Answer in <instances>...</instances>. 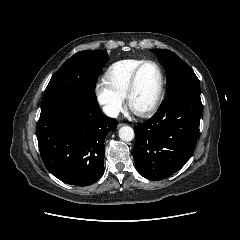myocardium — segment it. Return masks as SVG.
<instances>
[{
	"instance_id": "obj_1",
	"label": "myocardium",
	"mask_w": 240,
	"mask_h": 240,
	"mask_svg": "<svg viewBox=\"0 0 240 240\" xmlns=\"http://www.w3.org/2000/svg\"><path fill=\"white\" fill-rule=\"evenodd\" d=\"M147 64H152L157 68L158 73H159V77H160L159 86H158L156 95H155L152 103L145 109L136 110L132 106V96H133V94L135 92V89H136L139 73L142 70V68ZM164 84H165V76H164V72H163V69H162L161 65L154 60H144L141 64H139L136 67V69L133 71V73L130 77L128 87H127L126 96H125L128 108L133 113H135L136 115L141 116V117H146V116L151 115L157 109V107L160 104V101H161V98H162V95H163V91H164Z\"/></svg>"
}]
</instances>
